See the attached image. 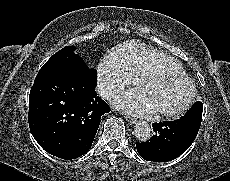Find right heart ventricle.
<instances>
[{
	"mask_svg": "<svg viewBox=\"0 0 230 181\" xmlns=\"http://www.w3.org/2000/svg\"><path fill=\"white\" fill-rule=\"evenodd\" d=\"M107 58L113 65L121 66L141 79L159 70L184 72L183 67L168 55L135 41L119 44L108 53Z\"/></svg>",
	"mask_w": 230,
	"mask_h": 181,
	"instance_id": "1",
	"label": "right heart ventricle"
}]
</instances>
